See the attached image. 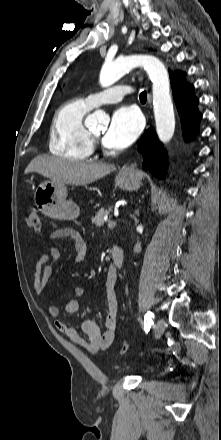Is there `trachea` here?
Segmentation results:
<instances>
[{
	"instance_id": "obj_1",
	"label": "trachea",
	"mask_w": 221,
	"mask_h": 440,
	"mask_svg": "<svg viewBox=\"0 0 221 440\" xmlns=\"http://www.w3.org/2000/svg\"><path fill=\"white\" fill-rule=\"evenodd\" d=\"M146 100H147V93H146V91H142L140 93V101L141 102H146Z\"/></svg>"
}]
</instances>
